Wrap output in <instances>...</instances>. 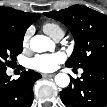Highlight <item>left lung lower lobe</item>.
I'll use <instances>...</instances> for the list:
<instances>
[{"instance_id":"obj_1","label":"left lung lower lobe","mask_w":107,"mask_h":107,"mask_svg":"<svg viewBox=\"0 0 107 107\" xmlns=\"http://www.w3.org/2000/svg\"><path fill=\"white\" fill-rule=\"evenodd\" d=\"M82 77L71 79L70 86L60 92L66 107L107 106V64H93L82 68Z\"/></svg>"}]
</instances>
